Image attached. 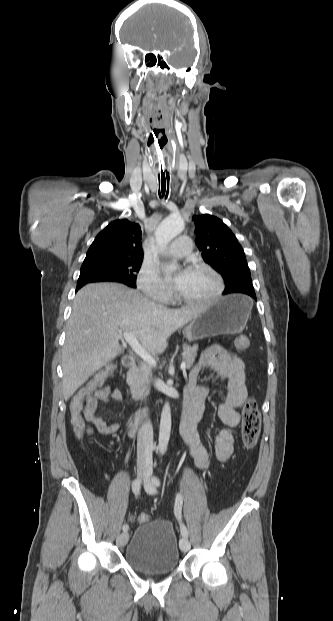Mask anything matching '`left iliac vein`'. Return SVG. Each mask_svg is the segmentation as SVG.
<instances>
[{"label":"left iliac vein","instance_id":"left-iliac-vein-1","mask_svg":"<svg viewBox=\"0 0 333 621\" xmlns=\"http://www.w3.org/2000/svg\"><path fill=\"white\" fill-rule=\"evenodd\" d=\"M144 481H147V482L151 483V473L150 472H147V475H146ZM148 492L151 493V494L154 493L155 492V488L152 487L151 489L148 490ZM179 546H180L181 551H183V552H187L191 548V544H190L189 540L187 538H185V537L180 539Z\"/></svg>","mask_w":333,"mask_h":621}]
</instances>
